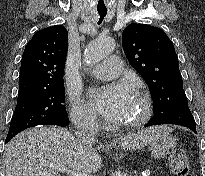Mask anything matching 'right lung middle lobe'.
<instances>
[{
    "instance_id": "obj_1",
    "label": "right lung middle lobe",
    "mask_w": 205,
    "mask_h": 176,
    "mask_svg": "<svg viewBox=\"0 0 205 176\" xmlns=\"http://www.w3.org/2000/svg\"><path fill=\"white\" fill-rule=\"evenodd\" d=\"M64 84L18 94L17 105L6 138L37 125L67 126L69 119L64 102Z\"/></svg>"
}]
</instances>
